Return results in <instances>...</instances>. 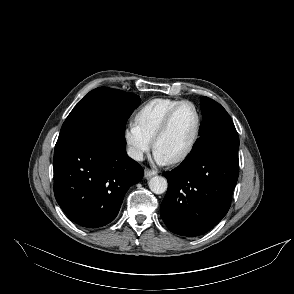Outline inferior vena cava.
I'll use <instances>...</instances> for the list:
<instances>
[{
	"instance_id": "inferior-vena-cava-1",
	"label": "inferior vena cava",
	"mask_w": 294,
	"mask_h": 294,
	"mask_svg": "<svg viewBox=\"0 0 294 294\" xmlns=\"http://www.w3.org/2000/svg\"><path fill=\"white\" fill-rule=\"evenodd\" d=\"M127 153L130 158L136 161H143V152L135 147H129Z\"/></svg>"
}]
</instances>
